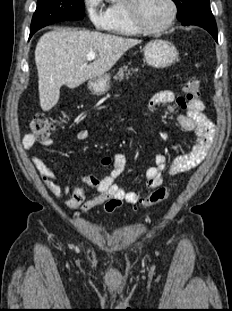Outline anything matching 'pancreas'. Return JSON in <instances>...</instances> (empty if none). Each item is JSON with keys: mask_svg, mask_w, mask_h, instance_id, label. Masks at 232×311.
Segmentation results:
<instances>
[{"mask_svg": "<svg viewBox=\"0 0 232 311\" xmlns=\"http://www.w3.org/2000/svg\"><path fill=\"white\" fill-rule=\"evenodd\" d=\"M138 69L129 68L128 66H124L123 68H120L117 74L114 76L115 80H122L124 76L128 77L132 75V73L137 72Z\"/></svg>", "mask_w": 232, "mask_h": 311, "instance_id": "obj_1", "label": "pancreas"}]
</instances>
